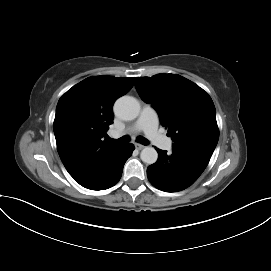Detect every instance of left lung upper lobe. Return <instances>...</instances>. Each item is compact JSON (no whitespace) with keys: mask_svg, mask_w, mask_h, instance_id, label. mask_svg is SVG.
<instances>
[{"mask_svg":"<svg viewBox=\"0 0 271 271\" xmlns=\"http://www.w3.org/2000/svg\"><path fill=\"white\" fill-rule=\"evenodd\" d=\"M135 87L168 128L174 150L212 156L219 131L214 103L203 89L175 74L136 77Z\"/></svg>","mask_w":271,"mask_h":271,"instance_id":"left-lung-upper-lobe-1","label":"left lung upper lobe"}]
</instances>
